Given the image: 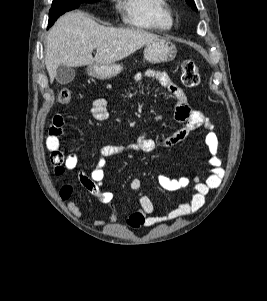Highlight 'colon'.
<instances>
[{
  "instance_id": "colon-1",
  "label": "colon",
  "mask_w": 267,
  "mask_h": 301,
  "mask_svg": "<svg viewBox=\"0 0 267 301\" xmlns=\"http://www.w3.org/2000/svg\"><path fill=\"white\" fill-rule=\"evenodd\" d=\"M200 75L197 66L192 60H185L181 66V81L186 87H194L199 83ZM72 99V93L68 88H62L58 93V101L68 104Z\"/></svg>"
}]
</instances>
